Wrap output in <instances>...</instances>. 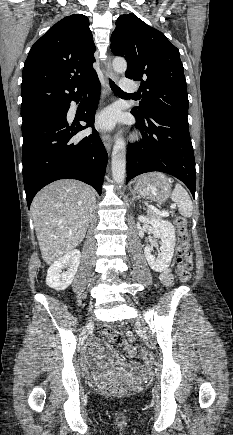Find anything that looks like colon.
Returning a JSON list of instances; mask_svg holds the SVG:
<instances>
[{
	"label": "colon",
	"instance_id": "obj_1",
	"mask_svg": "<svg viewBox=\"0 0 233 435\" xmlns=\"http://www.w3.org/2000/svg\"><path fill=\"white\" fill-rule=\"evenodd\" d=\"M174 224L178 234L176 275L183 282H188L190 279V270L192 268V254L190 251L187 220L182 216H176L174 218ZM98 333L101 336L111 338L112 342L116 345H122L127 341V339H130L126 333L116 331L109 325H100L98 327ZM100 389L106 396H121L125 393V388L121 384L113 382H103Z\"/></svg>",
	"mask_w": 233,
	"mask_h": 435
}]
</instances>
